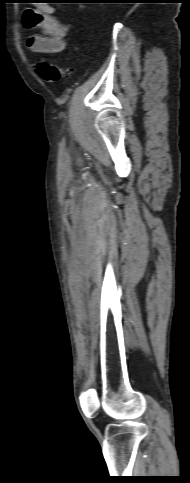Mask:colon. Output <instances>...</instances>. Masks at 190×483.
I'll use <instances>...</instances> for the list:
<instances>
[{
  "label": "colon",
  "instance_id": "obj_1",
  "mask_svg": "<svg viewBox=\"0 0 190 483\" xmlns=\"http://www.w3.org/2000/svg\"><path fill=\"white\" fill-rule=\"evenodd\" d=\"M36 72L46 82L58 83L67 77L69 70L54 63L40 61L36 65Z\"/></svg>",
  "mask_w": 190,
  "mask_h": 483
}]
</instances>
